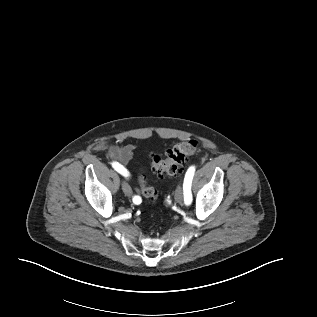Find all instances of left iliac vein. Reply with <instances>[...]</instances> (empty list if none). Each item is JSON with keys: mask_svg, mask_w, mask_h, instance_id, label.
Segmentation results:
<instances>
[{"mask_svg": "<svg viewBox=\"0 0 317 317\" xmlns=\"http://www.w3.org/2000/svg\"><path fill=\"white\" fill-rule=\"evenodd\" d=\"M175 200L181 204L184 200V195L181 187H178L176 192H175Z\"/></svg>", "mask_w": 317, "mask_h": 317, "instance_id": "left-iliac-vein-1", "label": "left iliac vein"}]
</instances>
